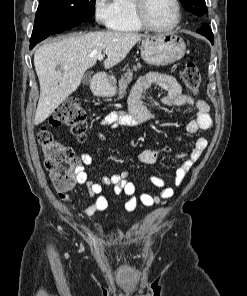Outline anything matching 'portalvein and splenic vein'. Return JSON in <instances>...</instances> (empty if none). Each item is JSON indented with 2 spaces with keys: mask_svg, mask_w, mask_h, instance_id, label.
I'll return each instance as SVG.
<instances>
[{
  "mask_svg": "<svg viewBox=\"0 0 247 296\" xmlns=\"http://www.w3.org/2000/svg\"><path fill=\"white\" fill-rule=\"evenodd\" d=\"M97 58H98L99 61H102L103 58H104V55L103 54H99Z\"/></svg>",
  "mask_w": 247,
  "mask_h": 296,
  "instance_id": "1",
  "label": "portal vein and splenic vein"
}]
</instances>
